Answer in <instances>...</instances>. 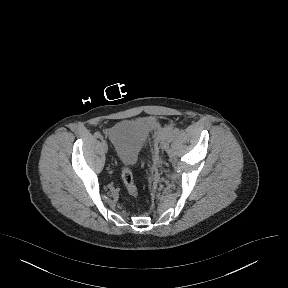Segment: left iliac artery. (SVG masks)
Returning <instances> with one entry per match:
<instances>
[{
  "mask_svg": "<svg viewBox=\"0 0 288 288\" xmlns=\"http://www.w3.org/2000/svg\"><path fill=\"white\" fill-rule=\"evenodd\" d=\"M175 133H177V130H174V131H173V134H175Z\"/></svg>",
  "mask_w": 288,
  "mask_h": 288,
  "instance_id": "44dca946",
  "label": "left iliac artery"
}]
</instances>
